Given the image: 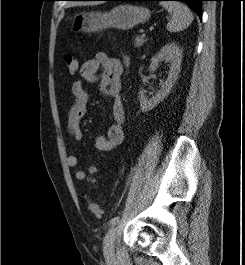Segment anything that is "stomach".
Masks as SVG:
<instances>
[{"label": "stomach", "mask_w": 245, "mask_h": 265, "mask_svg": "<svg viewBox=\"0 0 245 265\" xmlns=\"http://www.w3.org/2000/svg\"><path fill=\"white\" fill-rule=\"evenodd\" d=\"M150 18V11L142 6L122 4L109 12H83L72 21L76 32H98L106 28L128 30Z\"/></svg>", "instance_id": "obj_1"}]
</instances>
